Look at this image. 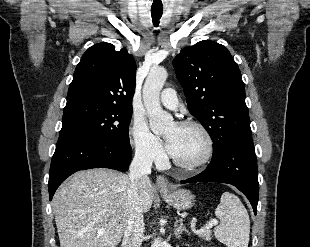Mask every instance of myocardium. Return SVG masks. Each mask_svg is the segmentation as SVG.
Here are the masks:
<instances>
[{
	"label": "myocardium",
	"mask_w": 310,
	"mask_h": 247,
	"mask_svg": "<svg viewBox=\"0 0 310 247\" xmlns=\"http://www.w3.org/2000/svg\"><path fill=\"white\" fill-rule=\"evenodd\" d=\"M177 126L184 127V128L193 127V128L198 129L204 136L205 143H206V150H205L204 156L197 162L190 163V164L183 163L175 159L172 155L170 156L171 162L176 167L182 170H185V171H189V172H194V171H197L205 167L210 162L214 154V141L208 129L203 124L197 121H192V120L181 121L177 123Z\"/></svg>",
	"instance_id": "f54148a6"
}]
</instances>
